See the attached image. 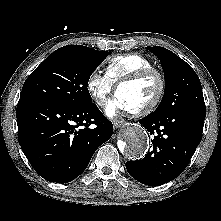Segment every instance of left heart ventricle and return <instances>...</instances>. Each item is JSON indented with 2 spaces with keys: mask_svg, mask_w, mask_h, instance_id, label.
<instances>
[{
  "mask_svg": "<svg viewBox=\"0 0 221 221\" xmlns=\"http://www.w3.org/2000/svg\"><path fill=\"white\" fill-rule=\"evenodd\" d=\"M159 82L150 76L137 83L122 86L117 95L121 97L130 110L140 109L149 104L156 96Z\"/></svg>",
  "mask_w": 221,
  "mask_h": 221,
  "instance_id": "1",
  "label": "left heart ventricle"
}]
</instances>
